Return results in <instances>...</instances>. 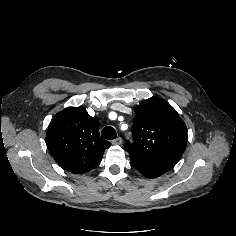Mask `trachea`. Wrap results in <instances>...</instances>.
Returning <instances> with one entry per match:
<instances>
[{
  "mask_svg": "<svg viewBox=\"0 0 236 236\" xmlns=\"http://www.w3.org/2000/svg\"><path fill=\"white\" fill-rule=\"evenodd\" d=\"M101 136L105 139L113 140L117 137V133L113 127L107 126L102 129Z\"/></svg>",
  "mask_w": 236,
  "mask_h": 236,
  "instance_id": "trachea-1",
  "label": "trachea"
}]
</instances>
